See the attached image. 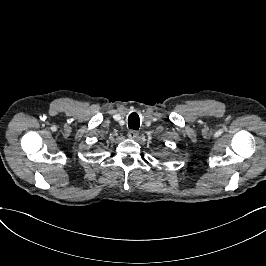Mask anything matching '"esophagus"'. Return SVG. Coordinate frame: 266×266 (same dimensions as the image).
Here are the masks:
<instances>
[{
    "label": "esophagus",
    "instance_id": "1",
    "mask_svg": "<svg viewBox=\"0 0 266 266\" xmlns=\"http://www.w3.org/2000/svg\"><path fill=\"white\" fill-rule=\"evenodd\" d=\"M127 136L130 138V139H135L137 136H138V132L135 131V130H130L127 134Z\"/></svg>",
    "mask_w": 266,
    "mask_h": 266
}]
</instances>
